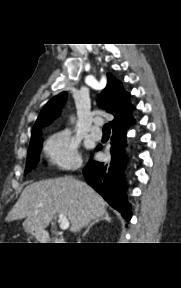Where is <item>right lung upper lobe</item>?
<instances>
[{"label":"right lung upper lobe","instance_id":"cb5924a9","mask_svg":"<svg viewBox=\"0 0 181 288\" xmlns=\"http://www.w3.org/2000/svg\"><path fill=\"white\" fill-rule=\"evenodd\" d=\"M108 83L102 91L98 103L100 107L114 115L111 121L112 128H122L129 126L135 120L132 116L134 106L129 101L130 94L127 93L122 83L118 81L111 73L107 74ZM67 93L62 92L52 98L40 112L32 130L31 141L35 140L42 134L43 126L49 125L61 113L65 104Z\"/></svg>","mask_w":181,"mask_h":288}]
</instances>
